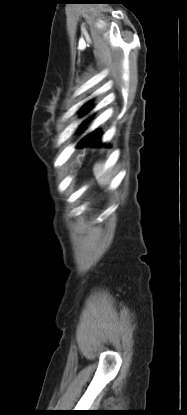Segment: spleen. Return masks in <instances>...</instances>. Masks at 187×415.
Listing matches in <instances>:
<instances>
[{
	"label": "spleen",
	"instance_id": "obj_1",
	"mask_svg": "<svg viewBox=\"0 0 187 415\" xmlns=\"http://www.w3.org/2000/svg\"><path fill=\"white\" fill-rule=\"evenodd\" d=\"M103 166V164L98 163L94 166L93 169L94 175L98 178V182L100 185H106L110 181V173L108 171L102 173Z\"/></svg>",
	"mask_w": 187,
	"mask_h": 415
}]
</instances>
